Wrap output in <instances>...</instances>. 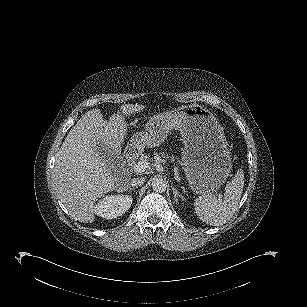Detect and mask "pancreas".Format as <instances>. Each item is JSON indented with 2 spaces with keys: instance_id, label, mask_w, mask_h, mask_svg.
<instances>
[{
  "instance_id": "pancreas-1",
  "label": "pancreas",
  "mask_w": 307,
  "mask_h": 307,
  "mask_svg": "<svg viewBox=\"0 0 307 307\" xmlns=\"http://www.w3.org/2000/svg\"><path fill=\"white\" fill-rule=\"evenodd\" d=\"M161 156L164 157V154H158V153H155V156H154V159L157 160V161H160L161 160Z\"/></svg>"
}]
</instances>
